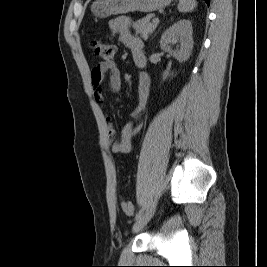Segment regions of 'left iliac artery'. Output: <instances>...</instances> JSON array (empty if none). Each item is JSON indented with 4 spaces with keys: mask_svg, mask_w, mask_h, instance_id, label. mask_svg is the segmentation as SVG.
Returning a JSON list of instances; mask_svg holds the SVG:
<instances>
[{
    "mask_svg": "<svg viewBox=\"0 0 267 267\" xmlns=\"http://www.w3.org/2000/svg\"><path fill=\"white\" fill-rule=\"evenodd\" d=\"M143 212H144V209H143V208L140 209V210L137 212L136 216H135V220H137V219L143 214Z\"/></svg>",
    "mask_w": 267,
    "mask_h": 267,
    "instance_id": "left-iliac-artery-1",
    "label": "left iliac artery"
}]
</instances>
